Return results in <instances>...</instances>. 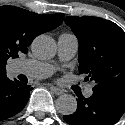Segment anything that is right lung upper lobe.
I'll return each mask as SVG.
<instances>
[{
  "instance_id": "right-lung-upper-lobe-1",
  "label": "right lung upper lobe",
  "mask_w": 125,
  "mask_h": 125,
  "mask_svg": "<svg viewBox=\"0 0 125 125\" xmlns=\"http://www.w3.org/2000/svg\"><path fill=\"white\" fill-rule=\"evenodd\" d=\"M64 14L43 15L14 6H0V76L9 58H17L33 39L58 27Z\"/></svg>"
}]
</instances>
